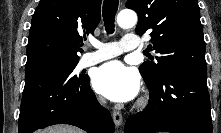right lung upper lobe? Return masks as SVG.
Returning <instances> with one entry per match:
<instances>
[{"instance_id":"cb5924a9","label":"right lung upper lobe","mask_w":221,"mask_h":133,"mask_svg":"<svg viewBox=\"0 0 221 133\" xmlns=\"http://www.w3.org/2000/svg\"><path fill=\"white\" fill-rule=\"evenodd\" d=\"M101 2L41 0L32 17L26 72L78 62L82 36L94 34L100 22Z\"/></svg>"}]
</instances>
